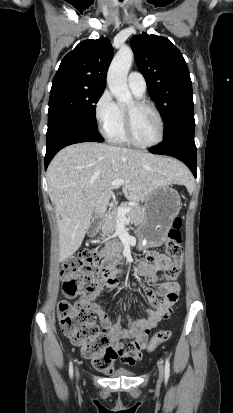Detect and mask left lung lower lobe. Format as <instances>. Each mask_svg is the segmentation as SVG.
<instances>
[{
  "mask_svg": "<svg viewBox=\"0 0 233 413\" xmlns=\"http://www.w3.org/2000/svg\"><path fill=\"white\" fill-rule=\"evenodd\" d=\"M149 151L154 154L168 155L181 160L196 177L197 151L194 142V130H178L157 146L150 148Z\"/></svg>",
  "mask_w": 233,
  "mask_h": 413,
  "instance_id": "0a47b994",
  "label": "left lung lower lobe"
}]
</instances>
